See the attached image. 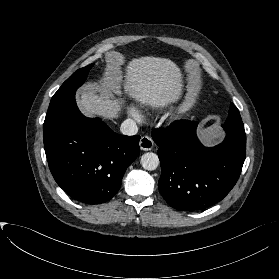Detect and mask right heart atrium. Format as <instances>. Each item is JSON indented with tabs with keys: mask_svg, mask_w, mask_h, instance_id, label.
Wrapping results in <instances>:
<instances>
[{
	"mask_svg": "<svg viewBox=\"0 0 279 279\" xmlns=\"http://www.w3.org/2000/svg\"><path fill=\"white\" fill-rule=\"evenodd\" d=\"M129 114L131 117H133L137 121H141L143 119V115H142L141 111L134 106L130 108Z\"/></svg>",
	"mask_w": 279,
	"mask_h": 279,
	"instance_id": "obj_1",
	"label": "right heart atrium"
}]
</instances>
